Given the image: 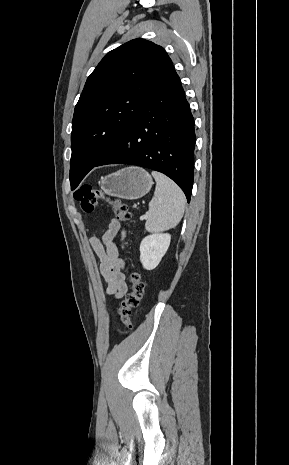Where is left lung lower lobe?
I'll use <instances>...</instances> for the list:
<instances>
[{
    "label": "left lung lower lobe",
    "instance_id": "obj_1",
    "mask_svg": "<svg viewBox=\"0 0 289 465\" xmlns=\"http://www.w3.org/2000/svg\"><path fill=\"white\" fill-rule=\"evenodd\" d=\"M194 119L175 72L145 100L133 122L94 166L132 164L164 173L190 201L193 186Z\"/></svg>",
    "mask_w": 289,
    "mask_h": 465
}]
</instances>
